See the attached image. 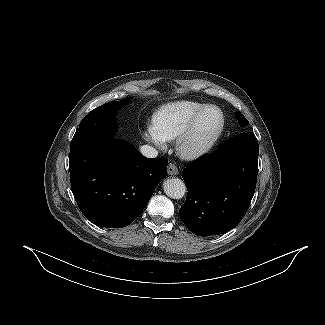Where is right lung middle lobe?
I'll use <instances>...</instances> for the list:
<instances>
[{
	"label": "right lung middle lobe",
	"instance_id": "dd1d6c3e",
	"mask_svg": "<svg viewBox=\"0 0 325 325\" xmlns=\"http://www.w3.org/2000/svg\"><path fill=\"white\" fill-rule=\"evenodd\" d=\"M129 101L130 98H126L121 101L106 103L92 110L81 121L75 135L82 134L98 137H110L114 135L117 131L115 114Z\"/></svg>",
	"mask_w": 325,
	"mask_h": 325
}]
</instances>
